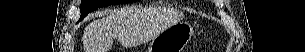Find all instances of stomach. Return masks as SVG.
<instances>
[{"mask_svg": "<svg viewBox=\"0 0 305 52\" xmlns=\"http://www.w3.org/2000/svg\"><path fill=\"white\" fill-rule=\"evenodd\" d=\"M194 30L187 22H178L160 32L149 43L147 52H182L188 45Z\"/></svg>", "mask_w": 305, "mask_h": 52, "instance_id": "1", "label": "stomach"}]
</instances>
